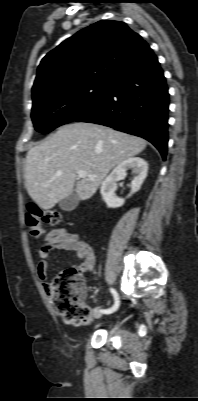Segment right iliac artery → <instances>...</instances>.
<instances>
[{
    "label": "right iliac artery",
    "mask_w": 198,
    "mask_h": 401,
    "mask_svg": "<svg viewBox=\"0 0 198 401\" xmlns=\"http://www.w3.org/2000/svg\"><path fill=\"white\" fill-rule=\"evenodd\" d=\"M110 291H111V293H112L113 296H114L115 302H114V305H113L112 307H110V308H108V309H102V310H100V311H101L102 313H104V314H110V313L116 311L117 308L119 307V302H120V301H119V296H118L117 292H116L115 289H113V288H111Z\"/></svg>",
    "instance_id": "right-iliac-artery-1"
}]
</instances>
